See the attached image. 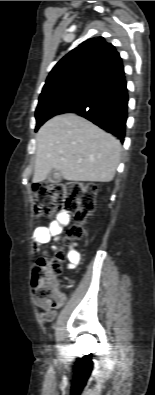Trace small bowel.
Returning a JSON list of instances; mask_svg holds the SVG:
<instances>
[{"label":"small bowel","mask_w":155,"mask_h":395,"mask_svg":"<svg viewBox=\"0 0 155 395\" xmlns=\"http://www.w3.org/2000/svg\"><path fill=\"white\" fill-rule=\"evenodd\" d=\"M69 222V215L66 212H60L48 226L38 227L34 231L32 237V253L40 254L43 244H47L50 240L59 241L61 239L62 231ZM69 268L74 267L80 260V254L72 249L68 253ZM56 312L50 308H46L42 313V318L45 321H52L55 318Z\"/></svg>","instance_id":"small-bowel-1"}]
</instances>
